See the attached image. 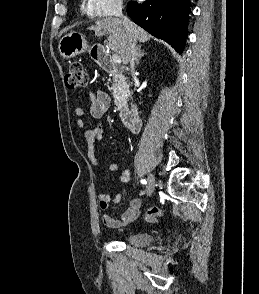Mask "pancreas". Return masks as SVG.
<instances>
[{
  "mask_svg": "<svg viewBox=\"0 0 259 294\" xmlns=\"http://www.w3.org/2000/svg\"><path fill=\"white\" fill-rule=\"evenodd\" d=\"M111 90L115 105L118 108H122L130 95L129 85L124 76L118 74L113 75Z\"/></svg>",
  "mask_w": 259,
  "mask_h": 294,
  "instance_id": "pancreas-1",
  "label": "pancreas"
}]
</instances>
